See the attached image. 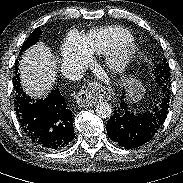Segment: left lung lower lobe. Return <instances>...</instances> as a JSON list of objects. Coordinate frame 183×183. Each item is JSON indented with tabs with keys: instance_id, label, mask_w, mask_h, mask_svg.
Instances as JSON below:
<instances>
[{
	"instance_id": "0a47b994",
	"label": "left lung lower lobe",
	"mask_w": 183,
	"mask_h": 183,
	"mask_svg": "<svg viewBox=\"0 0 183 183\" xmlns=\"http://www.w3.org/2000/svg\"><path fill=\"white\" fill-rule=\"evenodd\" d=\"M169 81L168 78L163 81V85L160 84L163 94L158 103L143 112L133 113L122 91L120 105L113 111L106 125L108 137L126 149L136 148L148 142L166 119L170 101Z\"/></svg>"
}]
</instances>
